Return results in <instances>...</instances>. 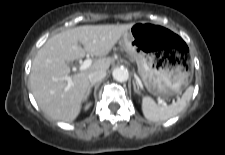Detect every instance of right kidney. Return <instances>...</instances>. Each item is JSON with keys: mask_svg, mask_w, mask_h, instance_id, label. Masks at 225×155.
Returning <instances> with one entry per match:
<instances>
[{"mask_svg": "<svg viewBox=\"0 0 225 155\" xmlns=\"http://www.w3.org/2000/svg\"><path fill=\"white\" fill-rule=\"evenodd\" d=\"M89 106H90V104L86 105L85 109H88V108H89Z\"/></svg>", "mask_w": 225, "mask_h": 155, "instance_id": "obj_1", "label": "right kidney"}]
</instances>
